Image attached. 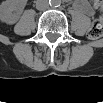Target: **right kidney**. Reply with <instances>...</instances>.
<instances>
[{
  "instance_id": "ca27d5eb",
  "label": "right kidney",
  "mask_w": 103,
  "mask_h": 103,
  "mask_svg": "<svg viewBox=\"0 0 103 103\" xmlns=\"http://www.w3.org/2000/svg\"><path fill=\"white\" fill-rule=\"evenodd\" d=\"M24 9L18 1L6 0L0 5V20L6 24L12 25L16 23Z\"/></svg>"
}]
</instances>
